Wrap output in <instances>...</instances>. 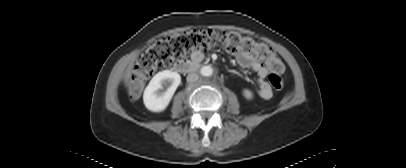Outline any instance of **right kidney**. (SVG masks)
I'll return each mask as SVG.
<instances>
[{"instance_id":"1","label":"right kidney","mask_w":406,"mask_h":168,"mask_svg":"<svg viewBox=\"0 0 406 168\" xmlns=\"http://www.w3.org/2000/svg\"><path fill=\"white\" fill-rule=\"evenodd\" d=\"M180 83L181 77L177 72L170 70L158 72L144 91L143 101L146 108L152 112L165 110ZM163 86L167 87L165 92L160 91Z\"/></svg>"}]
</instances>
